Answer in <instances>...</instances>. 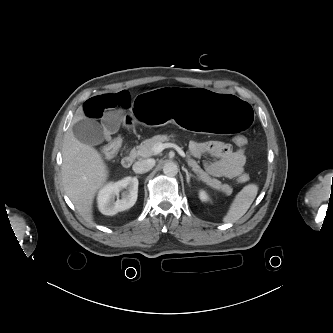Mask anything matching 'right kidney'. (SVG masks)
I'll list each match as a JSON object with an SVG mask.
<instances>
[{
    "instance_id": "ca27d5eb",
    "label": "right kidney",
    "mask_w": 333,
    "mask_h": 333,
    "mask_svg": "<svg viewBox=\"0 0 333 333\" xmlns=\"http://www.w3.org/2000/svg\"><path fill=\"white\" fill-rule=\"evenodd\" d=\"M138 184L136 177H126L120 181L106 184L97 197L100 212L112 216L131 208L137 201ZM122 190V198L119 199V192Z\"/></svg>"
}]
</instances>
